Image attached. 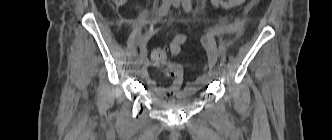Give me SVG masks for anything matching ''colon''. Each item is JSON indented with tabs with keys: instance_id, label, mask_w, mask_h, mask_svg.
<instances>
[{
	"instance_id": "5ec220e1",
	"label": "colon",
	"mask_w": 332,
	"mask_h": 140,
	"mask_svg": "<svg viewBox=\"0 0 332 140\" xmlns=\"http://www.w3.org/2000/svg\"><path fill=\"white\" fill-rule=\"evenodd\" d=\"M116 5H123L127 0H112ZM260 0H251L250 8H253ZM167 49L159 48L156 52V59L164 61L166 59Z\"/></svg>"
}]
</instances>
